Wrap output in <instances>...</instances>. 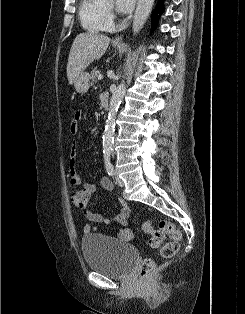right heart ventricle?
<instances>
[{
  "label": "right heart ventricle",
  "instance_id": "obj_1",
  "mask_svg": "<svg viewBox=\"0 0 245 314\" xmlns=\"http://www.w3.org/2000/svg\"><path fill=\"white\" fill-rule=\"evenodd\" d=\"M78 15L82 26L89 32H105L112 28L107 12L96 0H80Z\"/></svg>",
  "mask_w": 245,
  "mask_h": 314
}]
</instances>
